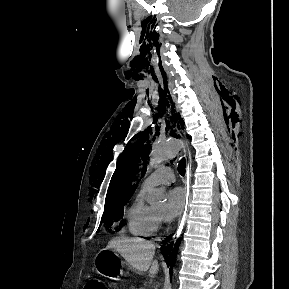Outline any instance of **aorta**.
<instances>
[{
  "mask_svg": "<svg viewBox=\"0 0 289 289\" xmlns=\"http://www.w3.org/2000/svg\"><path fill=\"white\" fill-rule=\"evenodd\" d=\"M183 143L177 138L157 140L152 146L150 165L159 167L174 159L180 152ZM166 195L162 189H152L148 195V202L152 205L161 204L165 201Z\"/></svg>",
  "mask_w": 289,
  "mask_h": 289,
  "instance_id": "obj_1",
  "label": "aorta"
}]
</instances>
